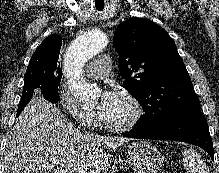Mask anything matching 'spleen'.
<instances>
[{
    "mask_svg": "<svg viewBox=\"0 0 219 173\" xmlns=\"http://www.w3.org/2000/svg\"><path fill=\"white\" fill-rule=\"evenodd\" d=\"M183 157L185 166L190 173H207V168L194 150H184Z\"/></svg>",
    "mask_w": 219,
    "mask_h": 173,
    "instance_id": "spleen-1",
    "label": "spleen"
}]
</instances>
